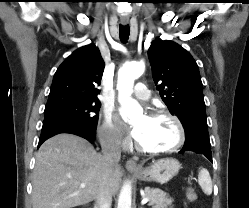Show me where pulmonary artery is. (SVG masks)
Wrapping results in <instances>:
<instances>
[{"label":"pulmonary artery","instance_id":"1","mask_svg":"<svg viewBox=\"0 0 249 208\" xmlns=\"http://www.w3.org/2000/svg\"><path fill=\"white\" fill-rule=\"evenodd\" d=\"M133 95L137 99L148 100L151 93L144 83L139 82L134 87Z\"/></svg>","mask_w":249,"mask_h":208}]
</instances>
